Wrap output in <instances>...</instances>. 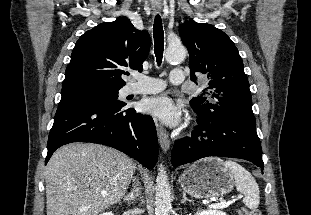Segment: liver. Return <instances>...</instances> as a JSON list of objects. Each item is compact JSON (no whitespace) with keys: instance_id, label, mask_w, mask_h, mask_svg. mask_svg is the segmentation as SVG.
Returning a JSON list of instances; mask_svg holds the SVG:
<instances>
[{"instance_id":"obj_1","label":"liver","mask_w":311,"mask_h":215,"mask_svg":"<svg viewBox=\"0 0 311 215\" xmlns=\"http://www.w3.org/2000/svg\"><path fill=\"white\" fill-rule=\"evenodd\" d=\"M135 169L131 158L106 146H62L46 168L47 215L99 214L121 200Z\"/></svg>"}]
</instances>
